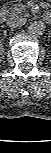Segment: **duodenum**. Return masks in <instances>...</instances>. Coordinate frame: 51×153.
Returning <instances> with one entry per match:
<instances>
[{"label":"duodenum","instance_id":"duodenum-1","mask_svg":"<svg viewBox=\"0 0 51 153\" xmlns=\"http://www.w3.org/2000/svg\"><path fill=\"white\" fill-rule=\"evenodd\" d=\"M6 16H7L6 11L5 10H1L0 11V22H4L5 19H6ZM48 16H49L48 14L44 15L45 18H48Z\"/></svg>","mask_w":51,"mask_h":153}]
</instances>
